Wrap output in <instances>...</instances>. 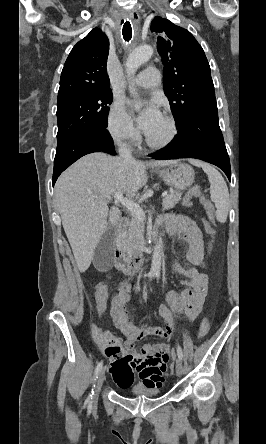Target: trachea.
<instances>
[{
    "label": "trachea",
    "instance_id": "trachea-1",
    "mask_svg": "<svg viewBox=\"0 0 266 444\" xmlns=\"http://www.w3.org/2000/svg\"><path fill=\"white\" fill-rule=\"evenodd\" d=\"M122 35L126 42H129L132 38V26L129 21H126L122 28Z\"/></svg>",
    "mask_w": 266,
    "mask_h": 444
}]
</instances>
